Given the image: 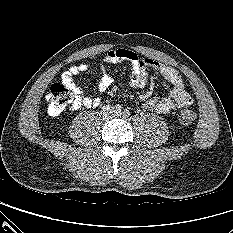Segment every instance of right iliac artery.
Segmentation results:
<instances>
[{
	"mask_svg": "<svg viewBox=\"0 0 233 233\" xmlns=\"http://www.w3.org/2000/svg\"><path fill=\"white\" fill-rule=\"evenodd\" d=\"M114 109H115V111H116L117 113H119V112H121L122 107H121L120 105H116V106L114 107Z\"/></svg>",
	"mask_w": 233,
	"mask_h": 233,
	"instance_id": "obj_1",
	"label": "right iliac artery"
}]
</instances>
